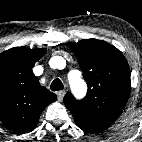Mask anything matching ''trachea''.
I'll return each instance as SVG.
<instances>
[{"label":"trachea","mask_w":142,"mask_h":142,"mask_svg":"<svg viewBox=\"0 0 142 142\" xmlns=\"http://www.w3.org/2000/svg\"><path fill=\"white\" fill-rule=\"evenodd\" d=\"M63 88L64 85L60 79H54L53 82L51 83V90L53 91H59L62 90Z\"/></svg>","instance_id":"trachea-1"}]
</instances>
